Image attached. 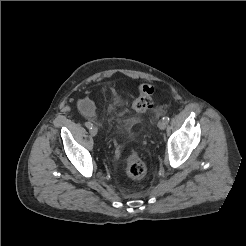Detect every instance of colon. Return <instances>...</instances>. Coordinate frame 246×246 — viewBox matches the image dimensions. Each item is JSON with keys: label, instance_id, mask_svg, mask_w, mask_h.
<instances>
[{"label": "colon", "instance_id": "colon-1", "mask_svg": "<svg viewBox=\"0 0 246 246\" xmlns=\"http://www.w3.org/2000/svg\"><path fill=\"white\" fill-rule=\"evenodd\" d=\"M140 95L133 103V109L136 112H145L152 107L153 87L148 84H142L139 87ZM146 165L142 159L135 153H131L127 158L126 173L131 179H141L146 174Z\"/></svg>", "mask_w": 246, "mask_h": 246}]
</instances>
